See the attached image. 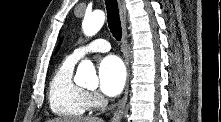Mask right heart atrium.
<instances>
[{
	"mask_svg": "<svg viewBox=\"0 0 221 122\" xmlns=\"http://www.w3.org/2000/svg\"><path fill=\"white\" fill-rule=\"evenodd\" d=\"M88 99L92 106H100L103 104V99L96 93H87Z\"/></svg>",
	"mask_w": 221,
	"mask_h": 122,
	"instance_id": "d8ad5b80",
	"label": "right heart atrium"
}]
</instances>
